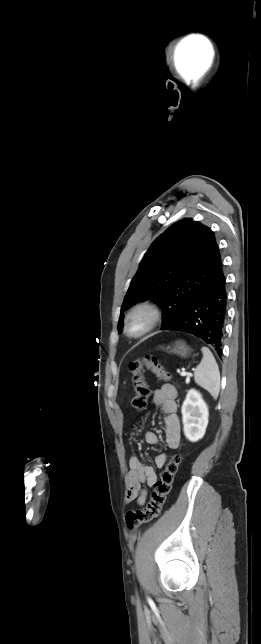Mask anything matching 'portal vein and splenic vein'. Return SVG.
Masks as SVG:
<instances>
[{
	"label": "portal vein and splenic vein",
	"instance_id": "obj_1",
	"mask_svg": "<svg viewBox=\"0 0 261 644\" xmlns=\"http://www.w3.org/2000/svg\"><path fill=\"white\" fill-rule=\"evenodd\" d=\"M179 373H180V376H182V377H185V376H191V375H192L191 373H188V372H185V371H181V372H179Z\"/></svg>",
	"mask_w": 261,
	"mask_h": 644
}]
</instances>
